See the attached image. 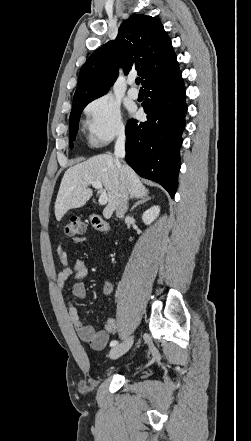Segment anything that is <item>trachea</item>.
Listing matches in <instances>:
<instances>
[{"instance_id":"1","label":"trachea","mask_w":251,"mask_h":441,"mask_svg":"<svg viewBox=\"0 0 251 441\" xmlns=\"http://www.w3.org/2000/svg\"><path fill=\"white\" fill-rule=\"evenodd\" d=\"M135 82H136V84L139 85V83H140V78H136Z\"/></svg>"}]
</instances>
